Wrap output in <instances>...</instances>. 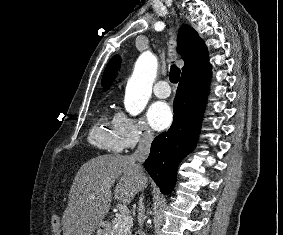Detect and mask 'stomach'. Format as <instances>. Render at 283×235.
<instances>
[{
    "label": "stomach",
    "instance_id": "0dacf381",
    "mask_svg": "<svg viewBox=\"0 0 283 235\" xmlns=\"http://www.w3.org/2000/svg\"><path fill=\"white\" fill-rule=\"evenodd\" d=\"M96 235H110L111 234V226L108 222L100 223L95 229Z\"/></svg>",
    "mask_w": 283,
    "mask_h": 235
}]
</instances>
